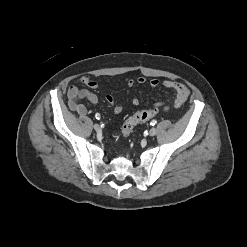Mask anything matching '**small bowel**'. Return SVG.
Segmentation results:
<instances>
[{"instance_id": "c3829d8e", "label": "small bowel", "mask_w": 247, "mask_h": 247, "mask_svg": "<svg viewBox=\"0 0 247 247\" xmlns=\"http://www.w3.org/2000/svg\"><path fill=\"white\" fill-rule=\"evenodd\" d=\"M144 83H146V78L143 76H140L135 80L129 79L126 82L128 87H132L135 84H144ZM79 85H83L89 89H96L98 87V83L97 81L92 79L90 76H82L76 82L71 84L67 91L69 108L72 111L76 112L77 114L83 116L87 113V109L84 104L80 103V100L86 99L92 105H97L99 102V99L95 93L87 89H81L79 88ZM149 85L153 88L158 87L160 85V81L156 78L150 79ZM162 85L165 88L173 91L174 99L172 102V106L175 109H180L184 105V103L186 102L189 96L188 88L184 84L177 82V81H172V80H165L162 82ZM106 99L108 103L111 105L112 110L115 114H119L123 111L124 109L123 105L122 104L116 105L114 103L113 98L110 95H107ZM139 103H140L139 99L137 97H133L132 104L134 106H138ZM156 107L162 108L165 111L169 110L170 108V106L164 102L156 103Z\"/></svg>"}]
</instances>
